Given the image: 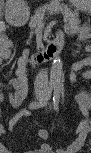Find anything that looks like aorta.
<instances>
[{
	"label": "aorta",
	"mask_w": 91,
	"mask_h": 153,
	"mask_svg": "<svg viewBox=\"0 0 91 153\" xmlns=\"http://www.w3.org/2000/svg\"><path fill=\"white\" fill-rule=\"evenodd\" d=\"M62 76V61L59 56H56L53 60L51 72H50V85L59 86Z\"/></svg>",
	"instance_id": "762f6f07"
}]
</instances>
